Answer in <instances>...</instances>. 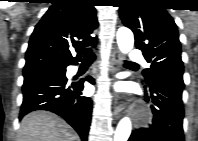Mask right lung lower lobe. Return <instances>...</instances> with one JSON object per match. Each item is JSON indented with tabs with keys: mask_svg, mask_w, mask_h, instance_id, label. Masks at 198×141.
<instances>
[{
	"mask_svg": "<svg viewBox=\"0 0 198 141\" xmlns=\"http://www.w3.org/2000/svg\"><path fill=\"white\" fill-rule=\"evenodd\" d=\"M77 62L71 65H76ZM65 72H47L24 77L23 103L19 118L35 110L54 112L63 117L78 132L81 139L86 141L91 122L92 101L81 93L84 80L69 83ZM86 80L94 84L92 77L88 76Z\"/></svg>",
	"mask_w": 198,
	"mask_h": 141,
	"instance_id": "obj_1",
	"label": "right lung lower lobe"
}]
</instances>
